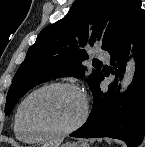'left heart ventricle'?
Here are the masks:
<instances>
[{
	"mask_svg": "<svg viewBox=\"0 0 145 147\" xmlns=\"http://www.w3.org/2000/svg\"><path fill=\"white\" fill-rule=\"evenodd\" d=\"M83 110L80 96L70 89H53L32 97L24 115L32 128L61 130L75 123Z\"/></svg>",
	"mask_w": 145,
	"mask_h": 147,
	"instance_id": "1",
	"label": "left heart ventricle"
}]
</instances>
